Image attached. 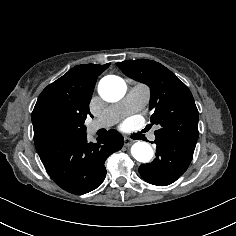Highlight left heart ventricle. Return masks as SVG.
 Wrapping results in <instances>:
<instances>
[{"label":"left heart ventricle","mask_w":236,"mask_h":236,"mask_svg":"<svg viewBox=\"0 0 236 236\" xmlns=\"http://www.w3.org/2000/svg\"><path fill=\"white\" fill-rule=\"evenodd\" d=\"M127 112L126 111H124V113L123 114H126Z\"/></svg>","instance_id":"1"}]
</instances>
